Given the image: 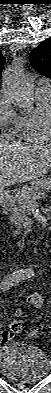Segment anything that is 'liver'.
Wrapping results in <instances>:
<instances>
[{
    "label": "liver",
    "mask_w": 51,
    "mask_h": 393,
    "mask_svg": "<svg viewBox=\"0 0 51 393\" xmlns=\"http://www.w3.org/2000/svg\"><path fill=\"white\" fill-rule=\"evenodd\" d=\"M50 168V145H26L0 139L1 187L36 180Z\"/></svg>",
    "instance_id": "liver-1"
}]
</instances>
